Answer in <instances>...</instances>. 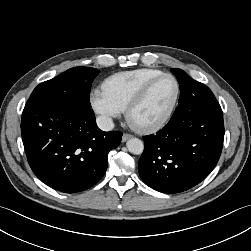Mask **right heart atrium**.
Wrapping results in <instances>:
<instances>
[{
    "instance_id": "d8ad5b80",
    "label": "right heart atrium",
    "mask_w": 251,
    "mask_h": 251,
    "mask_svg": "<svg viewBox=\"0 0 251 251\" xmlns=\"http://www.w3.org/2000/svg\"><path fill=\"white\" fill-rule=\"evenodd\" d=\"M90 104L103 126H110L122 109L107 95L103 89H93L90 93Z\"/></svg>"
}]
</instances>
